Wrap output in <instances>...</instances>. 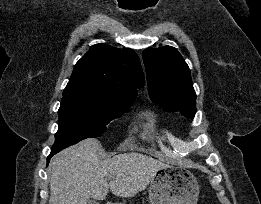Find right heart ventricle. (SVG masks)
I'll return each instance as SVG.
<instances>
[{"label":"right heart ventricle","mask_w":261,"mask_h":204,"mask_svg":"<svg viewBox=\"0 0 261 204\" xmlns=\"http://www.w3.org/2000/svg\"><path fill=\"white\" fill-rule=\"evenodd\" d=\"M155 119L152 114L148 115L145 122L146 128H151L154 125Z\"/></svg>","instance_id":"obj_1"}]
</instances>
